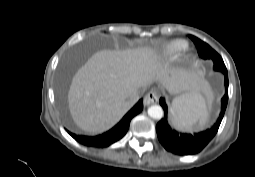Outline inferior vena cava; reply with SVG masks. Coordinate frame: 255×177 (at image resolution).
Wrapping results in <instances>:
<instances>
[{
  "instance_id": "inferior-vena-cava-1",
  "label": "inferior vena cava",
  "mask_w": 255,
  "mask_h": 177,
  "mask_svg": "<svg viewBox=\"0 0 255 177\" xmlns=\"http://www.w3.org/2000/svg\"><path fill=\"white\" fill-rule=\"evenodd\" d=\"M139 100V94L138 92H134L129 97V103L132 105L135 104Z\"/></svg>"
}]
</instances>
